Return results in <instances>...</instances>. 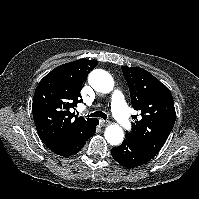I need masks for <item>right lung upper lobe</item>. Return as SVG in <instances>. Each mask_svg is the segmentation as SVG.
Returning <instances> with one entry per match:
<instances>
[{
	"mask_svg": "<svg viewBox=\"0 0 199 199\" xmlns=\"http://www.w3.org/2000/svg\"><path fill=\"white\" fill-rule=\"evenodd\" d=\"M96 60H76L60 65L38 84L32 103L33 118L40 138L75 136L90 126L96 118L74 117L71 108L77 106L80 90Z\"/></svg>",
	"mask_w": 199,
	"mask_h": 199,
	"instance_id": "obj_1",
	"label": "right lung upper lobe"
}]
</instances>
